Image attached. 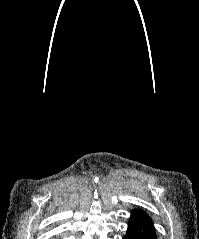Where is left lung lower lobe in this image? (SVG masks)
<instances>
[{
  "instance_id": "0a47b994",
  "label": "left lung lower lobe",
  "mask_w": 199,
  "mask_h": 239,
  "mask_svg": "<svg viewBox=\"0 0 199 239\" xmlns=\"http://www.w3.org/2000/svg\"><path fill=\"white\" fill-rule=\"evenodd\" d=\"M123 239H157L151 218L140 210H133Z\"/></svg>"
}]
</instances>
